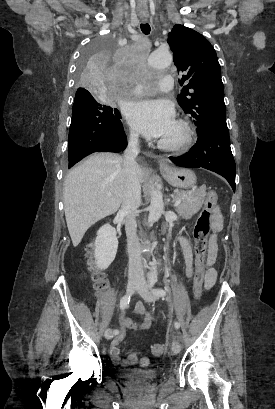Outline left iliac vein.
<instances>
[{
  "instance_id": "1",
  "label": "left iliac vein",
  "mask_w": 275,
  "mask_h": 409,
  "mask_svg": "<svg viewBox=\"0 0 275 409\" xmlns=\"http://www.w3.org/2000/svg\"><path fill=\"white\" fill-rule=\"evenodd\" d=\"M137 292L141 295V297L148 303L154 302L156 297L152 294L151 290L149 289L148 284L141 283L140 287L137 289ZM181 348L177 340H174L172 343V351L174 354H178Z\"/></svg>"
}]
</instances>
